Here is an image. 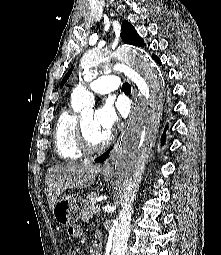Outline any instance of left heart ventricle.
Here are the masks:
<instances>
[{"label": "left heart ventricle", "mask_w": 221, "mask_h": 255, "mask_svg": "<svg viewBox=\"0 0 221 255\" xmlns=\"http://www.w3.org/2000/svg\"><path fill=\"white\" fill-rule=\"evenodd\" d=\"M82 121L84 130L91 144L98 146L107 139L108 134L97 126L95 113L93 111L84 115Z\"/></svg>", "instance_id": "1"}]
</instances>
